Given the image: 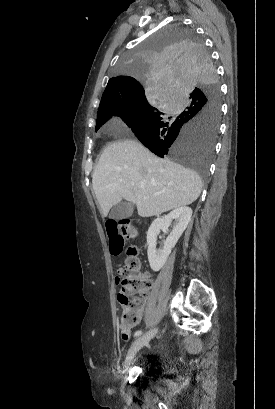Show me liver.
I'll return each instance as SVG.
<instances>
[{"instance_id": "obj_1", "label": "liver", "mask_w": 275, "mask_h": 409, "mask_svg": "<svg viewBox=\"0 0 275 409\" xmlns=\"http://www.w3.org/2000/svg\"><path fill=\"white\" fill-rule=\"evenodd\" d=\"M92 184L102 217H107L122 198L136 205L140 217L161 215L191 205L202 188L196 170L169 158H158L133 138L117 140L105 148L93 172Z\"/></svg>"}]
</instances>
